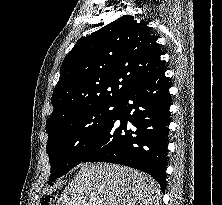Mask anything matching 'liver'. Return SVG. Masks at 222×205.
I'll use <instances>...</instances> for the list:
<instances>
[{"instance_id": "6515ba94", "label": "liver", "mask_w": 222, "mask_h": 205, "mask_svg": "<svg viewBox=\"0 0 222 205\" xmlns=\"http://www.w3.org/2000/svg\"><path fill=\"white\" fill-rule=\"evenodd\" d=\"M157 182L138 170L107 163H84L57 205H159Z\"/></svg>"}]
</instances>
